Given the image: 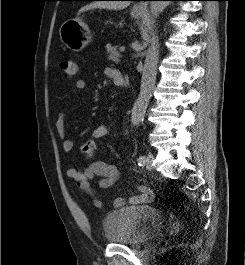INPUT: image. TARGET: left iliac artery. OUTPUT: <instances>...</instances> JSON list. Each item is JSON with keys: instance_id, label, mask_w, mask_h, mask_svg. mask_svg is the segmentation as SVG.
<instances>
[{"instance_id": "obj_1", "label": "left iliac artery", "mask_w": 245, "mask_h": 265, "mask_svg": "<svg viewBox=\"0 0 245 265\" xmlns=\"http://www.w3.org/2000/svg\"><path fill=\"white\" fill-rule=\"evenodd\" d=\"M137 162L139 166H143L145 164V156H139Z\"/></svg>"}]
</instances>
